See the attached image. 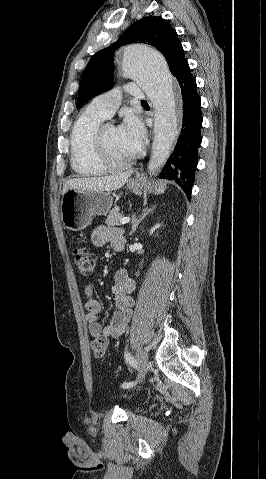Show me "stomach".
<instances>
[{"label": "stomach", "instance_id": "stomach-1", "mask_svg": "<svg viewBox=\"0 0 266 479\" xmlns=\"http://www.w3.org/2000/svg\"><path fill=\"white\" fill-rule=\"evenodd\" d=\"M127 187L134 193L140 194L143 185L139 179H131ZM154 189L157 194L163 193L165 184L159 182ZM112 203L113 198L110 192L68 190L61 200L62 223L69 230H83L90 225L93 216L109 213Z\"/></svg>", "mask_w": 266, "mask_h": 479}]
</instances>
